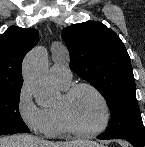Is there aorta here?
Segmentation results:
<instances>
[{"mask_svg": "<svg viewBox=\"0 0 145 147\" xmlns=\"http://www.w3.org/2000/svg\"><path fill=\"white\" fill-rule=\"evenodd\" d=\"M23 77L38 104L53 97L54 88L48 73L47 52L43 47H35L26 55L23 62Z\"/></svg>", "mask_w": 145, "mask_h": 147, "instance_id": "762f6f07", "label": "aorta"}]
</instances>
